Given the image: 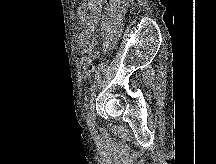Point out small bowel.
I'll list each match as a JSON object with an SVG mask.
<instances>
[{"instance_id":"1","label":"small bowel","mask_w":216,"mask_h":164,"mask_svg":"<svg viewBox=\"0 0 216 164\" xmlns=\"http://www.w3.org/2000/svg\"><path fill=\"white\" fill-rule=\"evenodd\" d=\"M107 17L102 15V0H83L78 9L82 30L78 38V47L85 57L82 62L91 61L89 55L94 51L95 42L90 37L100 26L102 36L105 38L104 48H110L120 31L126 12V0H105ZM97 54V53H96Z\"/></svg>"}]
</instances>
